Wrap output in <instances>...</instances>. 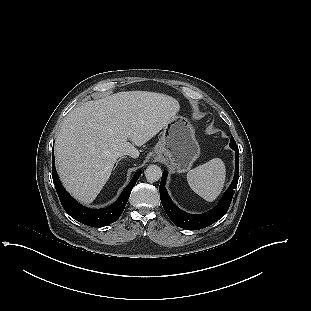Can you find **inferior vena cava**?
<instances>
[{"label": "inferior vena cava", "mask_w": 311, "mask_h": 311, "mask_svg": "<svg viewBox=\"0 0 311 311\" xmlns=\"http://www.w3.org/2000/svg\"><path fill=\"white\" fill-rule=\"evenodd\" d=\"M138 151H139V150H138V147L133 145V146H130V147L127 149V152H126L127 154H126V155H127L128 157H131V158L133 157V158H134V157L138 154Z\"/></svg>", "instance_id": "1"}]
</instances>
